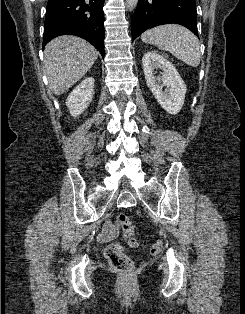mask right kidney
<instances>
[{
    "instance_id": "ca27d5eb",
    "label": "right kidney",
    "mask_w": 245,
    "mask_h": 314,
    "mask_svg": "<svg viewBox=\"0 0 245 314\" xmlns=\"http://www.w3.org/2000/svg\"><path fill=\"white\" fill-rule=\"evenodd\" d=\"M94 78L84 79L67 97L66 105L71 116L77 117L88 108L94 94Z\"/></svg>"
}]
</instances>
